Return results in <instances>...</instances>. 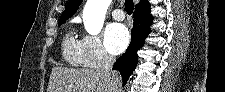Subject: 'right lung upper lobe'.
Segmentation results:
<instances>
[{"mask_svg": "<svg viewBox=\"0 0 225 92\" xmlns=\"http://www.w3.org/2000/svg\"><path fill=\"white\" fill-rule=\"evenodd\" d=\"M83 0H69L64 12L59 21L69 19L79 8ZM135 11L140 13L150 12V4L148 0H140V2L135 6Z\"/></svg>", "mask_w": 225, "mask_h": 92, "instance_id": "right-lung-upper-lobe-1", "label": "right lung upper lobe"}]
</instances>
